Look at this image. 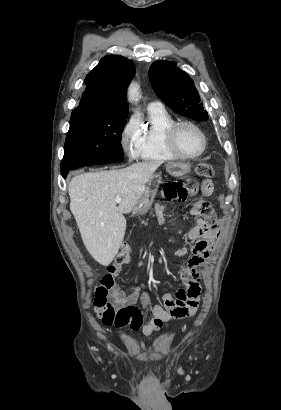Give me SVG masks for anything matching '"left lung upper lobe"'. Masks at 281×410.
<instances>
[{"instance_id": "obj_1", "label": "left lung upper lobe", "mask_w": 281, "mask_h": 410, "mask_svg": "<svg viewBox=\"0 0 281 410\" xmlns=\"http://www.w3.org/2000/svg\"><path fill=\"white\" fill-rule=\"evenodd\" d=\"M149 77L156 95L173 111L196 121L208 118L193 81L174 62H154Z\"/></svg>"}]
</instances>
